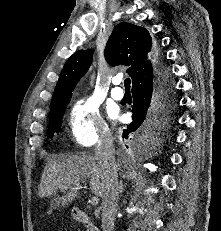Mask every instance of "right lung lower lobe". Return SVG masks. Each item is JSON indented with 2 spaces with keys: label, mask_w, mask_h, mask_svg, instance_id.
Returning a JSON list of instances; mask_svg holds the SVG:
<instances>
[{
  "label": "right lung lower lobe",
  "mask_w": 221,
  "mask_h": 231,
  "mask_svg": "<svg viewBox=\"0 0 221 231\" xmlns=\"http://www.w3.org/2000/svg\"><path fill=\"white\" fill-rule=\"evenodd\" d=\"M157 74L154 80L143 86L132 89L133 106H132V123L123 131V136L128 137L129 134L136 132L137 139L141 148L147 150L151 144L144 142L139 130L146 121L151 108L168 99H175L173 81L170 68L166 59L162 55H158L156 59ZM128 148V147H127Z\"/></svg>",
  "instance_id": "right-lung-lower-lobe-1"
}]
</instances>
